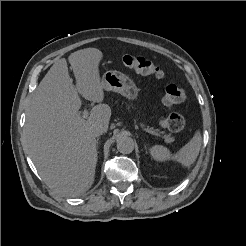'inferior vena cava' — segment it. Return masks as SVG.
<instances>
[{
	"label": "inferior vena cava",
	"instance_id": "inferior-vena-cava-1",
	"mask_svg": "<svg viewBox=\"0 0 246 246\" xmlns=\"http://www.w3.org/2000/svg\"><path fill=\"white\" fill-rule=\"evenodd\" d=\"M107 131V127L99 124L92 128L91 133L94 137H98Z\"/></svg>",
	"mask_w": 246,
	"mask_h": 246
}]
</instances>
